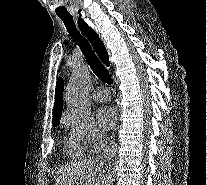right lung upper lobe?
<instances>
[{"label": "right lung upper lobe", "instance_id": "right-lung-upper-lobe-1", "mask_svg": "<svg viewBox=\"0 0 207 185\" xmlns=\"http://www.w3.org/2000/svg\"><path fill=\"white\" fill-rule=\"evenodd\" d=\"M63 79L58 78L55 90V104L53 108V126L56 127L60 123V118L63 110Z\"/></svg>", "mask_w": 207, "mask_h": 185}]
</instances>
